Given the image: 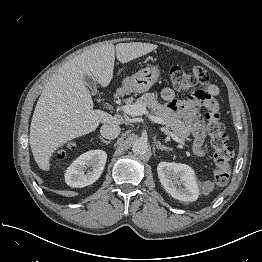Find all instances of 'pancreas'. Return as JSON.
Returning <instances> with one entry per match:
<instances>
[{
    "label": "pancreas",
    "instance_id": "pancreas-1",
    "mask_svg": "<svg viewBox=\"0 0 262 262\" xmlns=\"http://www.w3.org/2000/svg\"><path fill=\"white\" fill-rule=\"evenodd\" d=\"M135 104H142L149 108L156 117L160 118L165 124V132L172 131L181 140H185L189 135L183 121L172 116L171 112L157 101L154 93H146L136 100ZM194 153H198V147L193 148Z\"/></svg>",
    "mask_w": 262,
    "mask_h": 262
}]
</instances>
